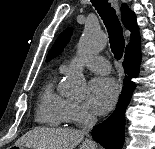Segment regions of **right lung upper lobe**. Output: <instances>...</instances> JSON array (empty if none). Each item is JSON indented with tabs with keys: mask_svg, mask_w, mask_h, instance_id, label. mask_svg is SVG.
<instances>
[{
	"mask_svg": "<svg viewBox=\"0 0 155 149\" xmlns=\"http://www.w3.org/2000/svg\"><path fill=\"white\" fill-rule=\"evenodd\" d=\"M121 17L125 28L131 31L130 42L126 47L125 55L139 56L141 55L140 36L139 29L136 23V17L134 12L131 11L125 3L121 7Z\"/></svg>",
	"mask_w": 155,
	"mask_h": 149,
	"instance_id": "1",
	"label": "right lung upper lobe"
}]
</instances>
